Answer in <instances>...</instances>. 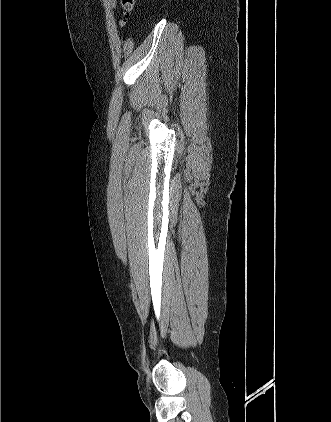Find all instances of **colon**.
<instances>
[{"label":"colon","mask_w":331,"mask_h":422,"mask_svg":"<svg viewBox=\"0 0 331 422\" xmlns=\"http://www.w3.org/2000/svg\"><path fill=\"white\" fill-rule=\"evenodd\" d=\"M120 2H121L122 11H123V18L121 20V23L124 24L127 21L130 14L133 12L135 8L136 0H121Z\"/></svg>","instance_id":"5ec220e1"}]
</instances>
